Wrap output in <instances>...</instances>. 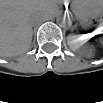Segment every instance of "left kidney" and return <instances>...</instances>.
<instances>
[{
	"mask_svg": "<svg viewBox=\"0 0 103 103\" xmlns=\"http://www.w3.org/2000/svg\"><path fill=\"white\" fill-rule=\"evenodd\" d=\"M67 43L70 46V48L76 52H82L83 51V38L82 36H77L70 34L67 37Z\"/></svg>",
	"mask_w": 103,
	"mask_h": 103,
	"instance_id": "1",
	"label": "left kidney"
}]
</instances>
